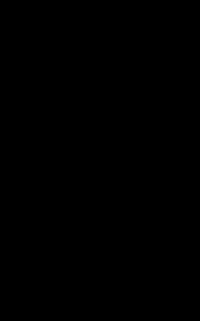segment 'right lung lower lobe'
Instances as JSON below:
<instances>
[{"label": "right lung lower lobe", "mask_w": 200, "mask_h": 321, "mask_svg": "<svg viewBox=\"0 0 200 321\" xmlns=\"http://www.w3.org/2000/svg\"><path fill=\"white\" fill-rule=\"evenodd\" d=\"M71 186L32 177L16 192V198L26 216L46 230H64L78 217L83 194ZM72 194L67 195L69 191Z\"/></svg>", "instance_id": "right-lung-lower-lobe-1"}]
</instances>
